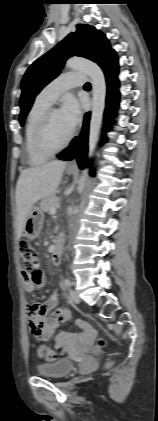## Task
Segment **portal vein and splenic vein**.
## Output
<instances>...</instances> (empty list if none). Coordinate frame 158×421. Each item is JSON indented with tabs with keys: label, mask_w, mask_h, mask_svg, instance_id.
Segmentation results:
<instances>
[{
	"label": "portal vein and splenic vein",
	"mask_w": 158,
	"mask_h": 421,
	"mask_svg": "<svg viewBox=\"0 0 158 421\" xmlns=\"http://www.w3.org/2000/svg\"><path fill=\"white\" fill-rule=\"evenodd\" d=\"M50 213H51V214H55V213H56V208H52V209L50 210Z\"/></svg>",
	"instance_id": "1"
}]
</instances>
